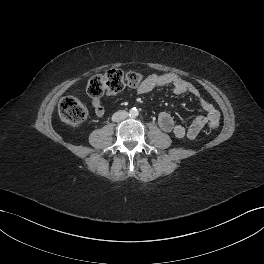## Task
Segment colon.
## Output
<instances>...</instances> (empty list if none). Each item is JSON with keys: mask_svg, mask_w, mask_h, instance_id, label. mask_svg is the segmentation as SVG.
<instances>
[{"mask_svg": "<svg viewBox=\"0 0 264 264\" xmlns=\"http://www.w3.org/2000/svg\"><path fill=\"white\" fill-rule=\"evenodd\" d=\"M142 77L135 72L124 73L118 69H112L103 75L91 77L87 83L86 92L92 98H98L105 92L115 94L122 91L125 87H138ZM58 111L61 119L69 125L82 123L87 115L84 105L74 97H64L60 100ZM218 121L209 122L211 129H216Z\"/></svg>", "mask_w": 264, "mask_h": 264, "instance_id": "colon-1", "label": "colon"}]
</instances>
